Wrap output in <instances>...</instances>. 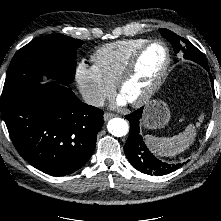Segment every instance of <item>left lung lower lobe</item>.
<instances>
[{
  "mask_svg": "<svg viewBox=\"0 0 221 221\" xmlns=\"http://www.w3.org/2000/svg\"><path fill=\"white\" fill-rule=\"evenodd\" d=\"M206 70H209L206 69ZM213 85L212 76L210 74ZM143 107L137 111L126 115L125 118L130 122V134L124 145L125 154L134 168L148 175H165L179 167L182 164H168L158 160L146 147L142 136L140 135L139 122L142 117Z\"/></svg>",
  "mask_w": 221,
  "mask_h": 221,
  "instance_id": "left-lung-lower-lobe-1",
  "label": "left lung lower lobe"
}]
</instances>
